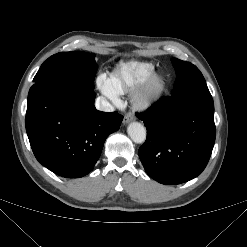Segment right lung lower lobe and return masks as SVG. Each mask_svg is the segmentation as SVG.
<instances>
[{"label": "right lung lower lobe", "mask_w": 247, "mask_h": 247, "mask_svg": "<svg viewBox=\"0 0 247 247\" xmlns=\"http://www.w3.org/2000/svg\"><path fill=\"white\" fill-rule=\"evenodd\" d=\"M92 89L60 82L34 84L28 94L26 131L40 164L66 178L89 174L106 138L123 116L96 110Z\"/></svg>", "instance_id": "right-lung-lower-lobe-1"}]
</instances>
